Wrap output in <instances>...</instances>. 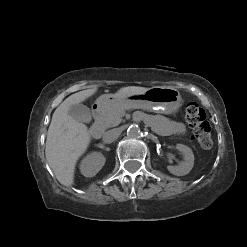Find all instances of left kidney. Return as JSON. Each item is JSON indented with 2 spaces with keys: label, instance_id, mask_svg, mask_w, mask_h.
I'll return each instance as SVG.
<instances>
[{
  "label": "left kidney",
  "instance_id": "obj_1",
  "mask_svg": "<svg viewBox=\"0 0 247 247\" xmlns=\"http://www.w3.org/2000/svg\"><path fill=\"white\" fill-rule=\"evenodd\" d=\"M176 149L180 151L184 156V161H181L179 165L177 166H167V169L170 173L176 176H184L188 174L194 165V154L192 150L183 145V144H177Z\"/></svg>",
  "mask_w": 247,
  "mask_h": 247
}]
</instances>
